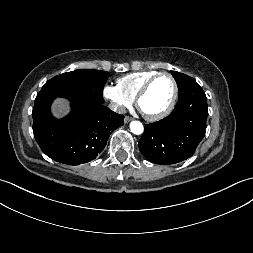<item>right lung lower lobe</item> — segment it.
<instances>
[{
  "mask_svg": "<svg viewBox=\"0 0 253 253\" xmlns=\"http://www.w3.org/2000/svg\"><path fill=\"white\" fill-rule=\"evenodd\" d=\"M56 97L71 100V112L55 119L50 106ZM103 102L79 94L41 90L33 107V133L43 153L69 165L87 163L106 146L110 134L124 124V116L102 105Z\"/></svg>",
  "mask_w": 253,
  "mask_h": 253,
  "instance_id": "obj_1",
  "label": "right lung lower lobe"
}]
</instances>
